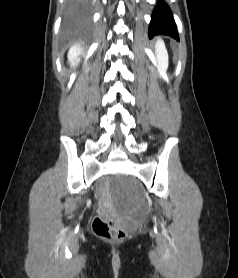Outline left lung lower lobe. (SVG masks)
<instances>
[{
  "label": "left lung lower lobe",
  "mask_w": 238,
  "mask_h": 278,
  "mask_svg": "<svg viewBox=\"0 0 238 278\" xmlns=\"http://www.w3.org/2000/svg\"><path fill=\"white\" fill-rule=\"evenodd\" d=\"M158 34L169 35L176 40H179L176 24L171 11L162 0L158 2L149 26V37Z\"/></svg>",
  "instance_id": "1"
}]
</instances>
